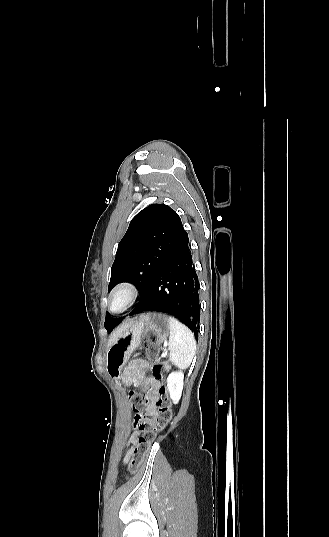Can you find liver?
<instances>
[{
    "label": "liver",
    "mask_w": 329,
    "mask_h": 537,
    "mask_svg": "<svg viewBox=\"0 0 329 537\" xmlns=\"http://www.w3.org/2000/svg\"><path fill=\"white\" fill-rule=\"evenodd\" d=\"M132 320H126L121 326L111 333L108 341V348L114 343V341L132 324Z\"/></svg>",
    "instance_id": "6515ba94"
}]
</instances>
